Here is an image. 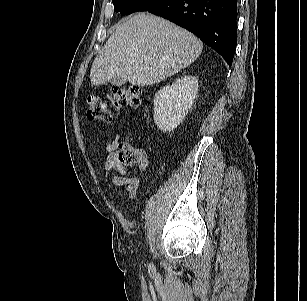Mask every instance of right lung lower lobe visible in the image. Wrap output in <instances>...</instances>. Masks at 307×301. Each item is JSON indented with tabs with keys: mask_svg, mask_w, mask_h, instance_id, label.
<instances>
[{
	"mask_svg": "<svg viewBox=\"0 0 307 301\" xmlns=\"http://www.w3.org/2000/svg\"><path fill=\"white\" fill-rule=\"evenodd\" d=\"M142 11L188 29L231 66L237 44V0H157Z\"/></svg>",
	"mask_w": 307,
	"mask_h": 301,
	"instance_id": "98d812e1",
	"label": "right lung lower lobe"
}]
</instances>
